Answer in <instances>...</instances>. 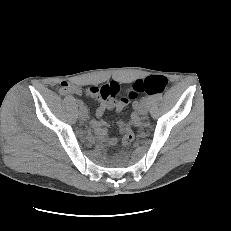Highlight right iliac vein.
Here are the masks:
<instances>
[{
	"label": "right iliac vein",
	"mask_w": 231,
	"mask_h": 231,
	"mask_svg": "<svg viewBox=\"0 0 231 231\" xmlns=\"http://www.w3.org/2000/svg\"><path fill=\"white\" fill-rule=\"evenodd\" d=\"M79 117L82 120H86L88 118V111L85 106L81 107L79 110Z\"/></svg>",
	"instance_id": "1"
}]
</instances>
